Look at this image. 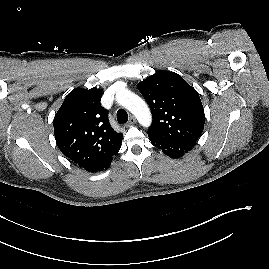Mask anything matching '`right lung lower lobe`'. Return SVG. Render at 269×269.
<instances>
[{"label": "right lung lower lobe", "mask_w": 269, "mask_h": 269, "mask_svg": "<svg viewBox=\"0 0 269 269\" xmlns=\"http://www.w3.org/2000/svg\"><path fill=\"white\" fill-rule=\"evenodd\" d=\"M119 150H120V148H119ZM119 150H118V151H119ZM118 151H117L115 154H113L109 159H107L105 162L100 163V164L94 166L92 169H90V170H88V171H89V172H99V171H103V170H105L106 168H108V167L110 166L111 161H112V157H113L114 155H116V154L118 153Z\"/></svg>", "instance_id": "obj_1"}]
</instances>
